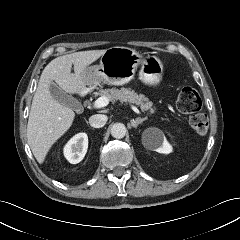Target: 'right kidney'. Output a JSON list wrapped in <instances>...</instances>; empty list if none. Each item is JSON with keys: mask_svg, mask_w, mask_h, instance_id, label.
I'll return each mask as SVG.
<instances>
[{"mask_svg": "<svg viewBox=\"0 0 240 240\" xmlns=\"http://www.w3.org/2000/svg\"><path fill=\"white\" fill-rule=\"evenodd\" d=\"M88 148V136L86 133H78L72 137L64 147L66 159L77 164L83 160Z\"/></svg>", "mask_w": 240, "mask_h": 240, "instance_id": "obj_1", "label": "right kidney"}]
</instances>
